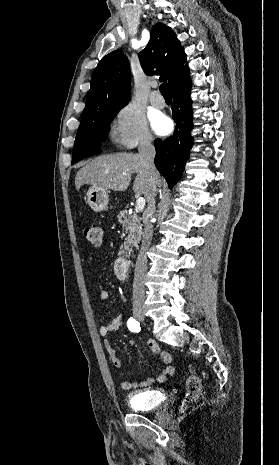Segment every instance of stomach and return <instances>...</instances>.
Segmentation results:
<instances>
[{"label":"stomach","mask_w":279,"mask_h":465,"mask_svg":"<svg viewBox=\"0 0 279 465\" xmlns=\"http://www.w3.org/2000/svg\"><path fill=\"white\" fill-rule=\"evenodd\" d=\"M86 197L88 205L94 212L107 210L109 202L108 190L91 186L87 191Z\"/></svg>","instance_id":"0dacf381"}]
</instances>
